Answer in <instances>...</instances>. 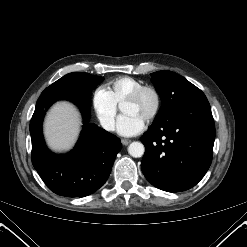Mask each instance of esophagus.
I'll return each mask as SVG.
<instances>
[{"instance_id":"1","label":"esophagus","mask_w":247,"mask_h":247,"mask_svg":"<svg viewBox=\"0 0 247 247\" xmlns=\"http://www.w3.org/2000/svg\"><path fill=\"white\" fill-rule=\"evenodd\" d=\"M121 142H122L123 145L126 146V145H128L129 143H131V140H129V139H122Z\"/></svg>"}]
</instances>
